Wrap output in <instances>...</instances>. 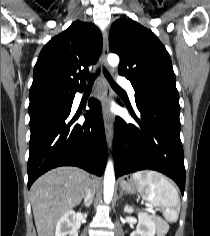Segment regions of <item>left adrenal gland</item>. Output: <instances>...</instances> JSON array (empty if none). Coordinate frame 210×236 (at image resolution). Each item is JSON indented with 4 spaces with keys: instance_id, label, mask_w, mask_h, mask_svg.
Masks as SVG:
<instances>
[{
    "instance_id": "obj_1",
    "label": "left adrenal gland",
    "mask_w": 210,
    "mask_h": 236,
    "mask_svg": "<svg viewBox=\"0 0 210 236\" xmlns=\"http://www.w3.org/2000/svg\"><path fill=\"white\" fill-rule=\"evenodd\" d=\"M123 195V190H120L119 197H122Z\"/></svg>"
}]
</instances>
